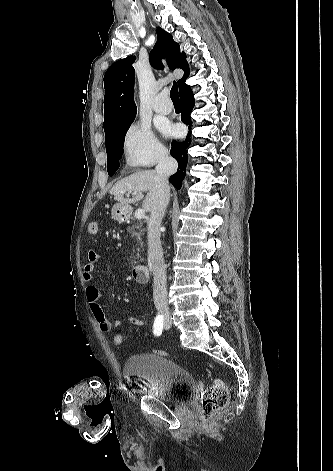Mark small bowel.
Returning <instances> with one entry per match:
<instances>
[{
    "label": "small bowel",
    "mask_w": 333,
    "mask_h": 471,
    "mask_svg": "<svg viewBox=\"0 0 333 471\" xmlns=\"http://www.w3.org/2000/svg\"><path fill=\"white\" fill-rule=\"evenodd\" d=\"M101 260L100 254L96 251H89L87 256V262L83 267V280L87 284L86 287V298L89 304L90 311L94 320L96 321L98 328L101 332H110L113 329L120 327L122 321L117 319L113 322H110L105 315V312L100 303L102 298V293L100 289L92 283L93 275L95 271V265ZM128 322L134 326H142L144 322L138 317H128Z\"/></svg>",
    "instance_id": "small-bowel-1"
}]
</instances>
